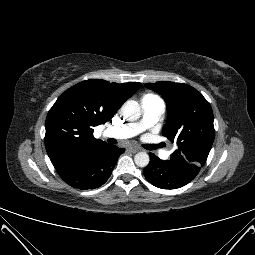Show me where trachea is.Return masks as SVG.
<instances>
[{"instance_id": "trachea-1", "label": "trachea", "mask_w": 255, "mask_h": 255, "mask_svg": "<svg viewBox=\"0 0 255 255\" xmlns=\"http://www.w3.org/2000/svg\"><path fill=\"white\" fill-rule=\"evenodd\" d=\"M160 147H163V144H159V145H150V146H149V149H150V150H155V149L160 148Z\"/></svg>"}]
</instances>
